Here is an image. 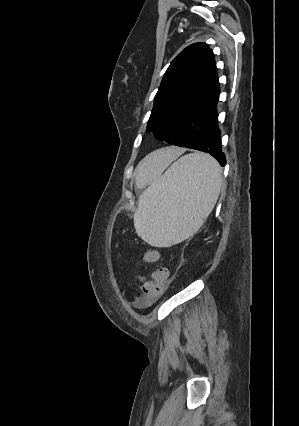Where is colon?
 I'll use <instances>...</instances> for the list:
<instances>
[{
  "label": "colon",
  "instance_id": "5ec220e1",
  "mask_svg": "<svg viewBox=\"0 0 299 426\" xmlns=\"http://www.w3.org/2000/svg\"><path fill=\"white\" fill-rule=\"evenodd\" d=\"M159 252L149 249L144 253L143 260L146 263H154L159 259ZM169 277L167 268L161 267L152 272L141 288L140 303L143 307L152 306L164 293Z\"/></svg>",
  "mask_w": 299,
  "mask_h": 426
}]
</instances>
